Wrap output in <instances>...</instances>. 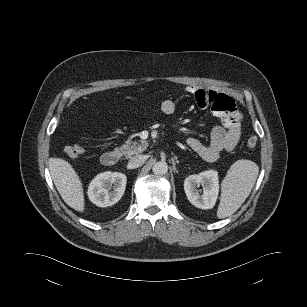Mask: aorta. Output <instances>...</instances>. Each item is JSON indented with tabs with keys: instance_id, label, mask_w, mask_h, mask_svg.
<instances>
[{
	"instance_id": "obj_1",
	"label": "aorta",
	"mask_w": 307,
	"mask_h": 307,
	"mask_svg": "<svg viewBox=\"0 0 307 307\" xmlns=\"http://www.w3.org/2000/svg\"><path fill=\"white\" fill-rule=\"evenodd\" d=\"M152 170L155 175L163 176L168 172V165L164 161H159L153 165Z\"/></svg>"
}]
</instances>
